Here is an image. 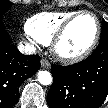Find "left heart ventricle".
<instances>
[{"label": "left heart ventricle", "instance_id": "left-heart-ventricle-1", "mask_svg": "<svg viewBox=\"0 0 108 108\" xmlns=\"http://www.w3.org/2000/svg\"><path fill=\"white\" fill-rule=\"evenodd\" d=\"M96 24L91 16H83L76 20L60 43L64 54L73 55L85 50L94 38Z\"/></svg>", "mask_w": 108, "mask_h": 108}]
</instances>
